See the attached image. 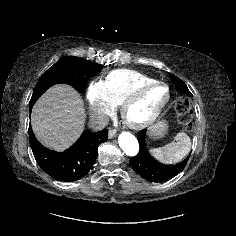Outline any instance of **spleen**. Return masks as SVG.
<instances>
[{
    "label": "spleen",
    "mask_w": 236,
    "mask_h": 236,
    "mask_svg": "<svg viewBox=\"0 0 236 236\" xmlns=\"http://www.w3.org/2000/svg\"><path fill=\"white\" fill-rule=\"evenodd\" d=\"M191 149V140L184 132H179L175 136V141L164 147L150 149V154L164 164H174L181 161L188 155Z\"/></svg>",
    "instance_id": "spleen-1"
}]
</instances>
